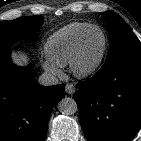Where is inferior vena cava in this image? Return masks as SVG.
I'll list each match as a JSON object with an SVG mask.
<instances>
[{
	"label": "inferior vena cava",
	"mask_w": 141,
	"mask_h": 141,
	"mask_svg": "<svg viewBox=\"0 0 141 141\" xmlns=\"http://www.w3.org/2000/svg\"><path fill=\"white\" fill-rule=\"evenodd\" d=\"M38 83L43 86H53L59 83L58 78L49 72H44L38 79Z\"/></svg>",
	"instance_id": "obj_1"
}]
</instances>
